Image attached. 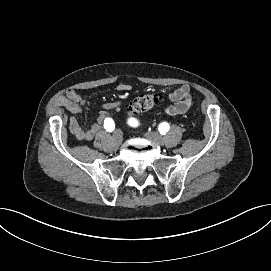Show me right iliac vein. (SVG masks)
I'll return each instance as SVG.
<instances>
[{
    "label": "right iliac vein",
    "mask_w": 271,
    "mask_h": 271,
    "mask_svg": "<svg viewBox=\"0 0 271 271\" xmlns=\"http://www.w3.org/2000/svg\"><path fill=\"white\" fill-rule=\"evenodd\" d=\"M113 139H114V142H115L116 144H120V143L122 142V140H123L122 133H121L119 130H117V131L115 132V134H114Z\"/></svg>",
    "instance_id": "63e3f726"
}]
</instances>
